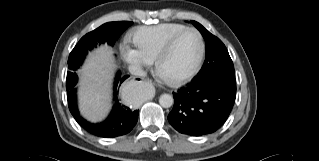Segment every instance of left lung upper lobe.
<instances>
[{"label":"left lung upper lobe","instance_id":"left-lung-upper-lobe-1","mask_svg":"<svg viewBox=\"0 0 319 161\" xmlns=\"http://www.w3.org/2000/svg\"><path fill=\"white\" fill-rule=\"evenodd\" d=\"M191 23L201 32L206 42V58L196 80L221 79L236 84L234 65L223 42L196 21Z\"/></svg>","mask_w":319,"mask_h":161}]
</instances>
